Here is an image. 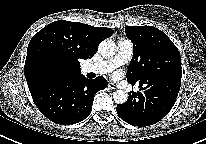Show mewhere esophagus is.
<instances>
[{
    "instance_id": "1",
    "label": "esophagus",
    "mask_w": 206,
    "mask_h": 144,
    "mask_svg": "<svg viewBox=\"0 0 206 144\" xmlns=\"http://www.w3.org/2000/svg\"><path fill=\"white\" fill-rule=\"evenodd\" d=\"M108 87H109L110 89H116V88H117V85H116L115 83H113V82H109V83H108Z\"/></svg>"
}]
</instances>
